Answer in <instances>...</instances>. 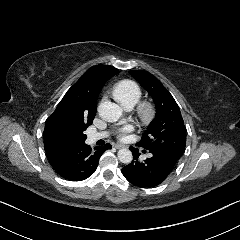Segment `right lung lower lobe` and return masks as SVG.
Wrapping results in <instances>:
<instances>
[{
    "label": "right lung lower lobe",
    "mask_w": 240,
    "mask_h": 240,
    "mask_svg": "<svg viewBox=\"0 0 240 240\" xmlns=\"http://www.w3.org/2000/svg\"><path fill=\"white\" fill-rule=\"evenodd\" d=\"M110 144L104 147H95L94 150L87 144L77 149H64L47 154V158L55 172L64 179L81 181L91 176L99 162V158Z\"/></svg>",
    "instance_id": "obj_1"
}]
</instances>
